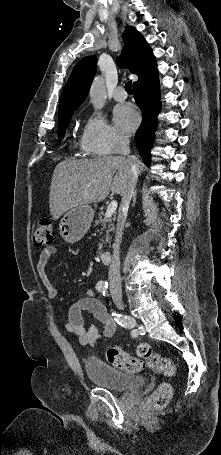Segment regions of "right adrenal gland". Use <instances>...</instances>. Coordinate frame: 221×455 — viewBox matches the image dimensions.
I'll list each match as a JSON object with an SVG mask.
<instances>
[{
	"mask_svg": "<svg viewBox=\"0 0 221 455\" xmlns=\"http://www.w3.org/2000/svg\"><path fill=\"white\" fill-rule=\"evenodd\" d=\"M136 194H137V190L134 191V194H133V204L132 206L134 207L135 204H136Z\"/></svg>",
	"mask_w": 221,
	"mask_h": 455,
	"instance_id": "obj_1",
	"label": "right adrenal gland"
}]
</instances>
